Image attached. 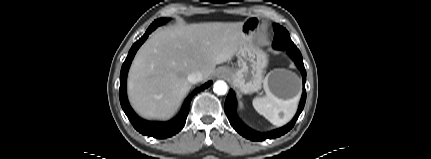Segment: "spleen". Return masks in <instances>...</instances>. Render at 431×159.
I'll return each mask as SVG.
<instances>
[{"label": "spleen", "mask_w": 431, "mask_h": 159, "mask_svg": "<svg viewBox=\"0 0 431 159\" xmlns=\"http://www.w3.org/2000/svg\"><path fill=\"white\" fill-rule=\"evenodd\" d=\"M264 90L265 96L253 99L254 109L273 125L282 126L288 123L296 113L300 95L283 100L274 96L266 84H264Z\"/></svg>", "instance_id": "3e777b00"}]
</instances>
